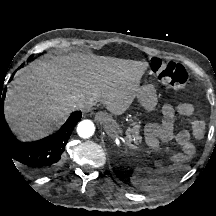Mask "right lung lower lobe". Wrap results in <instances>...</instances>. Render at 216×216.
<instances>
[{
  "label": "right lung lower lobe",
  "instance_id": "obj_1",
  "mask_svg": "<svg viewBox=\"0 0 216 216\" xmlns=\"http://www.w3.org/2000/svg\"><path fill=\"white\" fill-rule=\"evenodd\" d=\"M6 90L0 91V157L27 166L38 174H48L61 163L65 145L81 119V112H73L65 124L52 136L34 142H21L11 133L4 117Z\"/></svg>",
  "mask_w": 216,
  "mask_h": 216
}]
</instances>
